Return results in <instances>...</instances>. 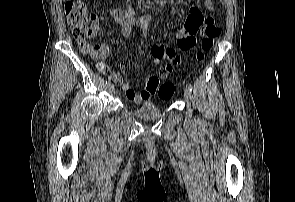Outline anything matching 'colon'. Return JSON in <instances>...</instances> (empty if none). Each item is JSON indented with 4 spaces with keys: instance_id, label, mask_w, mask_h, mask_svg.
I'll list each match as a JSON object with an SVG mask.
<instances>
[{
    "instance_id": "1",
    "label": "colon",
    "mask_w": 295,
    "mask_h": 202,
    "mask_svg": "<svg viewBox=\"0 0 295 202\" xmlns=\"http://www.w3.org/2000/svg\"><path fill=\"white\" fill-rule=\"evenodd\" d=\"M65 14L67 23L72 35L78 41L81 50L89 46V40L94 36L96 27L88 15L86 5L81 0H67L65 3ZM204 36L201 43L202 51H208L212 48L216 37L219 35V29L214 23H208L203 32ZM90 49L89 51H92ZM204 54L200 52L198 59L203 60ZM148 75H153V70H148ZM146 90H156L159 98L169 100L174 94V84L171 82L159 83V78L153 76L151 79H144Z\"/></svg>"
}]
</instances>
